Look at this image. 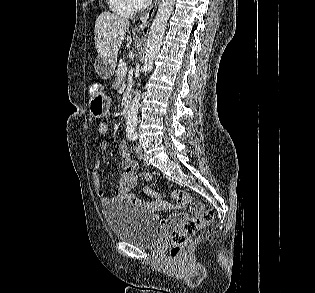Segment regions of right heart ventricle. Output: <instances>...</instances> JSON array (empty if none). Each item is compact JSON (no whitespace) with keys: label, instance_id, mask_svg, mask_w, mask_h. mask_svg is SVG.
<instances>
[{"label":"right heart ventricle","instance_id":"right-heart-ventricle-1","mask_svg":"<svg viewBox=\"0 0 315 293\" xmlns=\"http://www.w3.org/2000/svg\"><path fill=\"white\" fill-rule=\"evenodd\" d=\"M107 3L114 14L124 18L132 17L135 12L130 0H107Z\"/></svg>","mask_w":315,"mask_h":293}]
</instances>
